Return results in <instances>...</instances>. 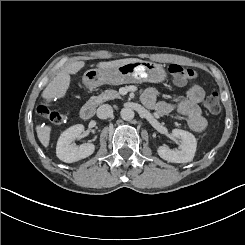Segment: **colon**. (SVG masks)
<instances>
[{
	"instance_id": "colon-1",
	"label": "colon",
	"mask_w": 245,
	"mask_h": 245,
	"mask_svg": "<svg viewBox=\"0 0 245 245\" xmlns=\"http://www.w3.org/2000/svg\"><path fill=\"white\" fill-rule=\"evenodd\" d=\"M169 73L178 82H185L195 77L196 72L187 67H183L179 64H172L169 66ZM203 106L207 112L216 114L220 111V101L216 94H211L204 98ZM38 114L44 119L48 120L54 125H60L64 122V115L53 109L49 102L43 101L37 107Z\"/></svg>"
}]
</instances>
